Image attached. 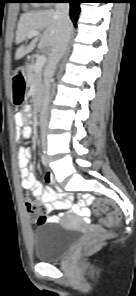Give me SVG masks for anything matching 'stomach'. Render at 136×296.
<instances>
[{"instance_id": "stomach-1", "label": "stomach", "mask_w": 136, "mask_h": 296, "mask_svg": "<svg viewBox=\"0 0 136 296\" xmlns=\"http://www.w3.org/2000/svg\"><path fill=\"white\" fill-rule=\"evenodd\" d=\"M25 90H27V85H12L10 97L13 98V105H24Z\"/></svg>"}]
</instances>
